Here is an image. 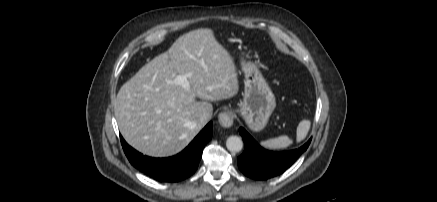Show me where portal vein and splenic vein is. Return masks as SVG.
Segmentation results:
<instances>
[{"label":"portal vein and splenic vein","mask_w":437,"mask_h":202,"mask_svg":"<svg viewBox=\"0 0 437 202\" xmlns=\"http://www.w3.org/2000/svg\"><path fill=\"white\" fill-rule=\"evenodd\" d=\"M174 84L180 85L185 89L190 88V84L188 82L187 75H177L175 80H174Z\"/></svg>","instance_id":"18ae733b"}]
</instances>
